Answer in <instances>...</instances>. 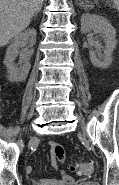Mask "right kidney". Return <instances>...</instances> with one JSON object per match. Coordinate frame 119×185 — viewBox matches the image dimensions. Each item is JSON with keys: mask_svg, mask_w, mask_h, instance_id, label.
Returning <instances> with one entry per match:
<instances>
[{"mask_svg": "<svg viewBox=\"0 0 119 185\" xmlns=\"http://www.w3.org/2000/svg\"><path fill=\"white\" fill-rule=\"evenodd\" d=\"M36 30L28 29L24 32L19 33L13 43L7 48L6 56L4 59V65L8 70V80L10 82H23L26 80L31 65L29 60H22L19 65L14 63L20 48L26 46L27 43L34 44L36 42Z\"/></svg>", "mask_w": 119, "mask_h": 185, "instance_id": "1", "label": "right kidney"}]
</instances>
